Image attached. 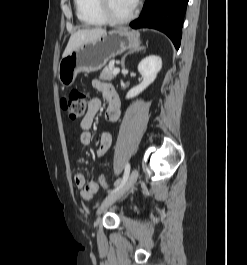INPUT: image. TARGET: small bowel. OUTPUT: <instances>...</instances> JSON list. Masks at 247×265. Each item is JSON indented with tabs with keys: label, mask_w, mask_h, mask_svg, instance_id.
Masks as SVG:
<instances>
[{
	"label": "small bowel",
	"mask_w": 247,
	"mask_h": 265,
	"mask_svg": "<svg viewBox=\"0 0 247 265\" xmlns=\"http://www.w3.org/2000/svg\"><path fill=\"white\" fill-rule=\"evenodd\" d=\"M93 86L100 90L106 101L107 109L105 112V118L110 122L118 121L120 117V100L115 89L108 83H105L99 79H95L92 82ZM101 107V101L98 98H93L88 105V109L80 126L82 132L79 136V142L81 145H88L91 142V132L94 118ZM112 145V136L108 132H104L100 136L99 146L97 149L98 157H103ZM74 183L77 188L80 189V195L85 200H90L99 191L100 186L96 181H90L86 183V179L83 174L77 173L74 176Z\"/></svg>",
	"instance_id": "obj_1"
}]
</instances>
